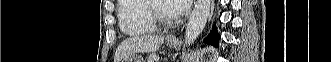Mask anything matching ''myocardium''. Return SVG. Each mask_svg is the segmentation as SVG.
<instances>
[{
	"mask_svg": "<svg viewBox=\"0 0 331 62\" xmlns=\"http://www.w3.org/2000/svg\"><path fill=\"white\" fill-rule=\"evenodd\" d=\"M157 0L147 1V14L150 21L155 25V27H168L173 24V17L165 15L160 7Z\"/></svg>",
	"mask_w": 331,
	"mask_h": 62,
	"instance_id": "f54148a6",
	"label": "myocardium"
}]
</instances>
